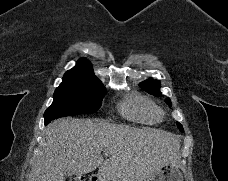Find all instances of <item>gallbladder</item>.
I'll list each match as a JSON object with an SVG mask.
<instances>
[{"label": "gallbladder", "mask_w": 228, "mask_h": 181, "mask_svg": "<svg viewBox=\"0 0 228 181\" xmlns=\"http://www.w3.org/2000/svg\"><path fill=\"white\" fill-rule=\"evenodd\" d=\"M70 173H67L66 177H69Z\"/></svg>", "instance_id": "1"}]
</instances>
